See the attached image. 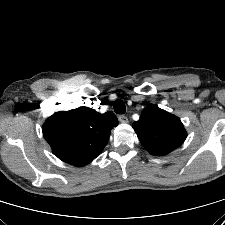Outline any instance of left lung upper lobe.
Segmentation results:
<instances>
[{"instance_id": "obj_1", "label": "left lung upper lobe", "mask_w": 225, "mask_h": 225, "mask_svg": "<svg viewBox=\"0 0 225 225\" xmlns=\"http://www.w3.org/2000/svg\"><path fill=\"white\" fill-rule=\"evenodd\" d=\"M132 127L145 149L155 156L172 152L187 136L180 119L157 105L146 107Z\"/></svg>"}]
</instances>
